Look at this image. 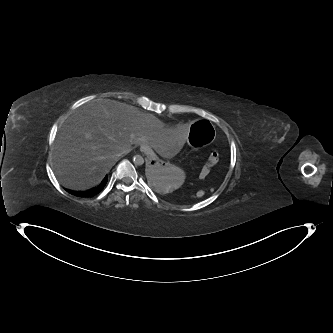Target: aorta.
Returning <instances> with one entry per match:
<instances>
[{
	"label": "aorta",
	"mask_w": 333,
	"mask_h": 333,
	"mask_svg": "<svg viewBox=\"0 0 333 333\" xmlns=\"http://www.w3.org/2000/svg\"><path fill=\"white\" fill-rule=\"evenodd\" d=\"M133 163L136 165V166H141L144 164V158L141 156V155H135L133 157Z\"/></svg>",
	"instance_id": "obj_1"
}]
</instances>
